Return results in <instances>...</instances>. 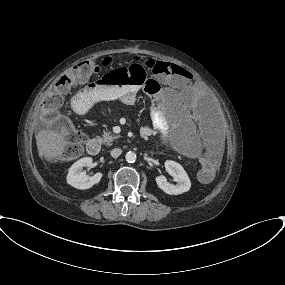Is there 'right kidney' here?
I'll use <instances>...</instances> for the list:
<instances>
[{
  "mask_svg": "<svg viewBox=\"0 0 285 285\" xmlns=\"http://www.w3.org/2000/svg\"><path fill=\"white\" fill-rule=\"evenodd\" d=\"M92 158L84 157L76 161L70 168L67 174V183L77 189H89L93 185L98 184L102 178V173H96L89 177L83 167H92Z\"/></svg>",
  "mask_w": 285,
  "mask_h": 285,
  "instance_id": "right-kidney-1",
  "label": "right kidney"
}]
</instances>
